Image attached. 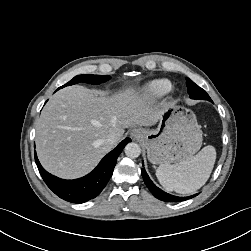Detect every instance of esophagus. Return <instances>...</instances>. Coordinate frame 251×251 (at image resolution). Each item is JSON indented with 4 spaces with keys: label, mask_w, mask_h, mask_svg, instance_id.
Instances as JSON below:
<instances>
[{
    "label": "esophagus",
    "mask_w": 251,
    "mask_h": 251,
    "mask_svg": "<svg viewBox=\"0 0 251 251\" xmlns=\"http://www.w3.org/2000/svg\"><path fill=\"white\" fill-rule=\"evenodd\" d=\"M141 130L140 129H133L131 131V137L133 138H139L142 134H141Z\"/></svg>",
    "instance_id": "34e87169"
}]
</instances>
